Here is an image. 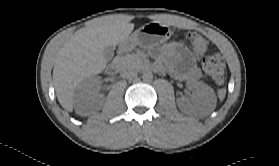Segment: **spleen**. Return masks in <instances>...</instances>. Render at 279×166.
Returning a JSON list of instances; mask_svg holds the SVG:
<instances>
[{"instance_id":"spleen-1","label":"spleen","mask_w":279,"mask_h":166,"mask_svg":"<svg viewBox=\"0 0 279 166\" xmlns=\"http://www.w3.org/2000/svg\"><path fill=\"white\" fill-rule=\"evenodd\" d=\"M225 94H226V89L223 88L218 90V97L221 101L225 98Z\"/></svg>"}]
</instances>
